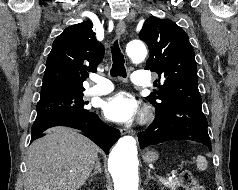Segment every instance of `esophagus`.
Masks as SVG:
<instances>
[{"mask_svg":"<svg viewBox=\"0 0 238 190\" xmlns=\"http://www.w3.org/2000/svg\"><path fill=\"white\" fill-rule=\"evenodd\" d=\"M125 30H126V24H125V22H124V21H119L118 24H117V26H116V34H117L118 36H121V35L124 34ZM130 132H131V131H130V130H127V129H120V133H121L122 135L127 134V133H130Z\"/></svg>","mask_w":238,"mask_h":190,"instance_id":"34e87169","label":"esophagus"}]
</instances>
